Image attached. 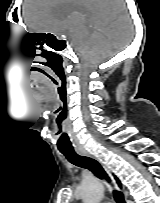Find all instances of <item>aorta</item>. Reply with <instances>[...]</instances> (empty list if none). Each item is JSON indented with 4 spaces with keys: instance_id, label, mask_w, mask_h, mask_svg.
<instances>
[{
    "instance_id": "1",
    "label": "aorta",
    "mask_w": 160,
    "mask_h": 203,
    "mask_svg": "<svg viewBox=\"0 0 160 203\" xmlns=\"http://www.w3.org/2000/svg\"><path fill=\"white\" fill-rule=\"evenodd\" d=\"M80 195L84 203H100L104 195L103 185L96 179L83 182Z\"/></svg>"
}]
</instances>
